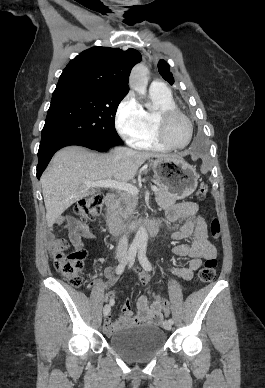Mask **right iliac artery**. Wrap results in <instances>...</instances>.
Returning <instances> with one entry per match:
<instances>
[{"label":"right iliac artery","instance_id":"right-iliac-artery-1","mask_svg":"<svg viewBox=\"0 0 265 388\" xmlns=\"http://www.w3.org/2000/svg\"><path fill=\"white\" fill-rule=\"evenodd\" d=\"M138 247L139 245L138 244H132L129 248V251H128V255L126 257V260L122 263H120L117 268H116V274H121L124 269H125V266L130 263V264H133L134 260H135V257H136V253H137V250H138ZM110 305H113V303L110 302Z\"/></svg>","mask_w":265,"mask_h":388}]
</instances>
